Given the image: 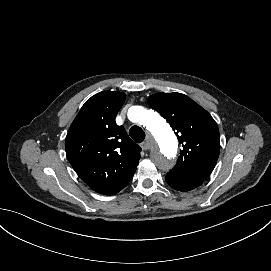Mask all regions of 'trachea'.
Returning a JSON list of instances; mask_svg holds the SVG:
<instances>
[{"label": "trachea", "mask_w": 271, "mask_h": 271, "mask_svg": "<svg viewBox=\"0 0 271 271\" xmlns=\"http://www.w3.org/2000/svg\"><path fill=\"white\" fill-rule=\"evenodd\" d=\"M129 135L136 143H141L146 137L143 129L137 125L130 128Z\"/></svg>", "instance_id": "obj_1"}]
</instances>
